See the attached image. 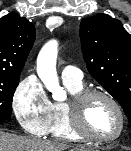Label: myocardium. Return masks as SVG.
I'll list each match as a JSON object with an SVG mask.
<instances>
[{"mask_svg":"<svg viewBox=\"0 0 131 151\" xmlns=\"http://www.w3.org/2000/svg\"><path fill=\"white\" fill-rule=\"evenodd\" d=\"M95 97H102L106 99L116 110L119 117V128L116 134L111 137H101L92 133L86 125V111L88 103ZM67 107L70 116L71 126L74 132L83 139L99 142L112 143L118 140L126 125V118L122 106L118 100L109 92L96 88L83 89L72 95L67 102Z\"/></svg>","mask_w":131,"mask_h":151,"instance_id":"f54148a6","label":"myocardium"}]
</instances>
